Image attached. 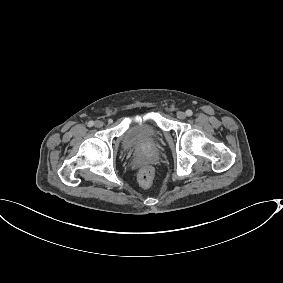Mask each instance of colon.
Segmentation results:
<instances>
[{"mask_svg": "<svg viewBox=\"0 0 283 283\" xmlns=\"http://www.w3.org/2000/svg\"><path fill=\"white\" fill-rule=\"evenodd\" d=\"M153 179H154V171L151 167L146 166L139 171L138 182L142 187L144 188L150 187L153 182Z\"/></svg>", "mask_w": 283, "mask_h": 283, "instance_id": "5ec220e1", "label": "colon"}]
</instances>
